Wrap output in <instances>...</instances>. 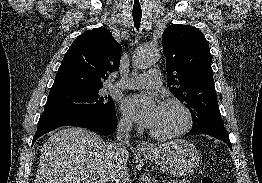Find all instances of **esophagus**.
<instances>
[{
	"mask_svg": "<svg viewBox=\"0 0 262 183\" xmlns=\"http://www.w3.org/2000/svg\"><path fill=\"white\" fill-rule=\"evenodd\" d=\"M136 148L140 152H145V151L151 150L150 146L144 141H139L136 145Z\"/></svg>",
	"mask_w": 262,
	"mask_h": 183,
	"instance_id": "esophagus-1",
	"label": "esophagus"
}]
</instances>
